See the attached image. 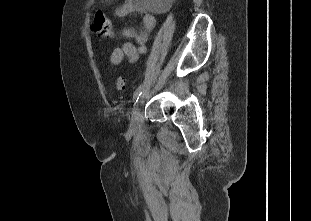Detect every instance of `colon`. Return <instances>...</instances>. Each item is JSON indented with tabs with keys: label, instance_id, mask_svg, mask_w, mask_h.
Here are the masks:
<instances>
[{
	"label": "colon",
	"instance_id": "1",
	"mask_svg": "<svg viewBox=\"0 0 311 221\" xmlns=\"http://www.w3.org/2000/svg\"><path fill=\"white\" fill-rule=\"evenodd\" d=\"M93 30L98 36L105 38H110L115 32L113 23L101 13H97L95 16ZM113 88L119 91L124 90L126 88L125 78L118 76L113 82Z\"/></svg>",
	"mask_w": 311,
	"mask_h": 221
}]
</instances>
